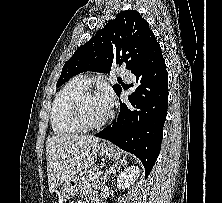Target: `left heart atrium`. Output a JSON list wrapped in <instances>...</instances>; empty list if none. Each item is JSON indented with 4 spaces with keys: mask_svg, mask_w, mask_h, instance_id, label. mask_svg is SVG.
Returning a JSON list of instances; mask_svg holds the SVG:
<instances>
[{
    "mask_svg": "<svg viewBox=\"0 0 222 203\" xmlns=\"http://www.w3.org/2000/svg\"><path fill=\"white\" fill-rule=\"evenodd\" d=\"M99 98L103 102V104L106 106V108L110 111L113 105V97L110 92L106 91L102 93Z\"/></svg>",
    "mask_w": 222,
    "mask_h": 203,
    "instance_id": "1",
    "label": "left heart atrium"
}]
</instances>
